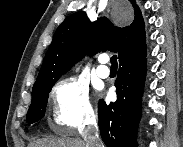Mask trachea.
<instances>
[{"instance_id": "obj_1", "label": "trachea", "mask_w": 183, "mask_h": 147, "mask_svg": "<svg viewBox=\"0 0 183 147\" xmlns=\"http://www.w3.org/2000/svg\"><path fill=\"white\" fill-rule=\"evenodd\" d=\"M110 62H111V67L117 68V56L116 55H113L110 58Z\"/></svg>"}]
</instances>
